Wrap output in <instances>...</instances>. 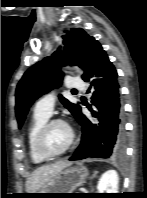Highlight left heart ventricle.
Segmentation results:
<instances>
[{
	"label": "left heart ventricle",
	"instance_id": "1",
	"mask_svg": "<svg viewBox=\"0 0 147 198\" xmlns=\"http://www.w3.org/2000/svg\"><path fill=\"white\" fill-rule=\"evenodd\" d=\"M68 138L67 128L62 124H54L47 132L45 145L51 152H57L66 145Z\"/></svg>",
	"mask_w": 147,
	"mask_h": 198
}]
</instances>
